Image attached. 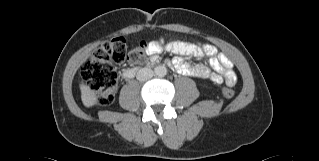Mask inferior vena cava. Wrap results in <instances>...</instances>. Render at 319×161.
<instances>
[{"instance_id": "602c4592", "label": "inferior vena cava", "mask_w": 319, "mask_h": 161, "mask_svg": "<svg viewBox=\"0 0 319 161\" xmlns=\"http://www.w3.org/2000/svg\"><path fill=\"white\" fill-rule=\"evenodd\" d=\"M153 75H154V72L150 68H142L137 72L136 78L139 81H146L152 78Z\"/></svg>"}]
</instances>
